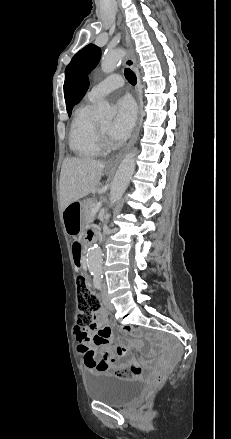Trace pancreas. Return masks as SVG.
I'll return each mask as SVG.
<instances>
[{
  "label": "pancreas",
  "instance_id": "cf45deb5",
  "mask_svg": "<svg viewBox=\"0 0 231 439\" xmlns=\"http://www.w3.org/2000/svg\"><path fill=\"white\" fill-rule=\"evenodd\" d=\"M95 205V201L91 198L83 201L81 212L85 222H91L93 220L94 215H91V211Z\"/></svg>",
  "mask_w": 231,
  "mask_h": 439
}]
</instances>
